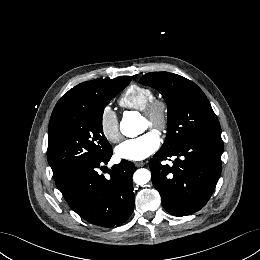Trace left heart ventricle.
Segmentation results:
<instances>
[{
  "instance_id": "left-heart-ventricle-1",
  "label": "left heart ventricle",
  "mask_w": 260,
  "mask_h": 260,
  "mask_svg": "<svg viewBox=\"0 0 260 260\" xmlns=\"http://www.w3.org/2000/svg\"><path fill=\"white\" fill-rule=\"evenodd\" d=\"M144 124H145V128H147L149 126V122L145 117H144Z\"/></svg>"
}]
</instances>
